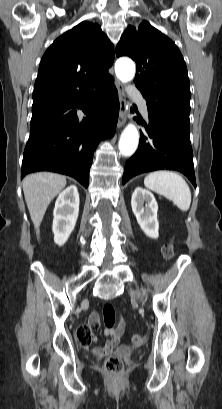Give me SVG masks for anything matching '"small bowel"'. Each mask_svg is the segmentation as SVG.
Masks as SVG:
<instances>
[{
    "label": "small bowel",
    "instance_id": "obj_1",
    "mask_svg": "<svg viewBox=\"0 0 222 409\" xmlns=\"http://www.w3.org/2000/svg\"><path fill=\"white\" fill-rule=\"evenodd\" d=\"M86 326L88 327L89 332L92 334V337L89 343L82 345H84L85 347H89L92 343L96 341V336L93 334V330H97L100 326L99 316L96 312L90 315L88 324ZM124 329L125 322L124 319L120 317L116 326L105 329L104 333L108 337L106 344L103 347L93 348V352L96 355H104L111 352L119 345Z\"/></svg>",
    "mask_w": 222,
    "mask_h": 409
}]
</instances>
